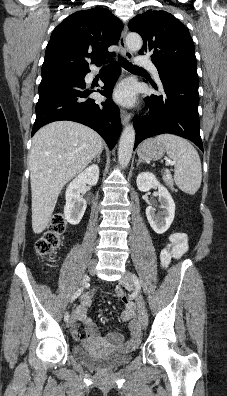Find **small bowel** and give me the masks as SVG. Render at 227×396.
<instances>
[{
	"label": "small bowel",
	"instance_id": "1",
	"mask_svg": "<svg viewBox=\"0 0 227 396\" xmlns=\"http://www.w3.org/2000/svg\"><path fill=\"white\" fill-rule=\"evenodd\" d=\"M188 250V238L185 233L174 232L169 236L167 245L161 251V265L167 267L172 259L181 258ZM115 293L122 297L121 289L116 288ZM93 293L86 294L82 297L80 305L75 311V321L72 326L73 334L79 341H90L97 344H112L118 346H134L141 338V332L138 321L134 318V307L130 302H126L122 311L121 318L123 321H129L130 335L127 341L119 332L109 333L103 337L100 335L98 326L88 315V310L92 304ZM78 323L85 327V332L78 331Z\"/></svg>",
	"mask_w": 227,
	"mask_h": 396
}]
</instances>
